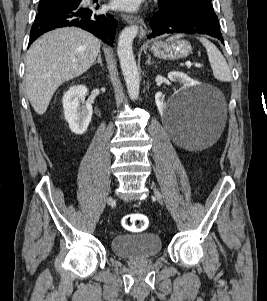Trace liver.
<instances>
[{
	"label": "liver",
	"mask_w": 267,
	"mask_h": 301,
	"mask_svg": "<svg viewBox=\"0 0 267 301\" xmlns=\"http://www.w3.org/2000/svg\"><path fill=\"white\" fill-rule=\"evenodd\" d=\"M101 42L91 33L76 27L50 31L30 47L26 59L27 97L43 115L57 88L85 73L95 62Z\"/></svg>",
	"instance_id": "obj_1"
}]
</instances>
